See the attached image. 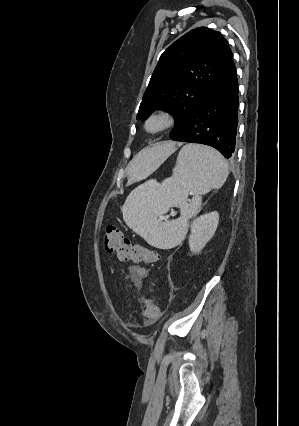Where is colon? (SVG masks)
<instances>
[{"mask_svg": "<svg viewBox=\"0 0 299 426\" xmlns=\"http://www.w3.org/2000/svg\"><path fill=\"white\" fill-rule=\"evenodd\" d=\"M104 248L108 253H115L122 262L154 263L159 259V254L141 244L130 241L115 225H108L105 230ZM143 316L146 325H151L159 319V309L154 300L149 297L142 298Z\"/></svg>", "mask_w": 299, "mask_h": 426, "instance_id": "1", "label": "colon"}]
</instances>
